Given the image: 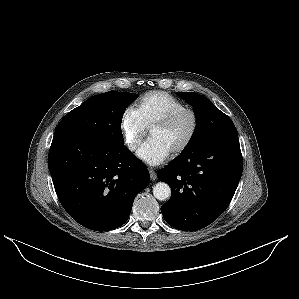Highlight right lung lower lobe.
Here are the masks:
<instances>
[{"mask_svg":"<svg viewBox=\"0 0 299 299\" xmlns=\"http://www.w3.org/2000/svg\"><path fill=\"white\" fill-rule=\"evenodd\" d=\"M48 167L66 212L95 231L123 225L135 196L150 182L146 166L124 144L69 134L54 135Z\"/></svg>","mask_w":299,"mask_h":299,"instance_id":"obj_1","label":"right lung lower lobe"}]
</instances>
